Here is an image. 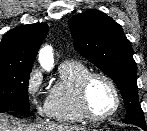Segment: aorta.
<instances>
[{
	"mask_svg": "<svg viewBox=\"0 0 147 131\" xmlns=\"http://www.w3.org/2000/svg\"><path fill=\"white\" fill-rule=\"evenodd\" d=\"M39 60L41 66L45 70H50L53 67V54L52 49L49 47H45L40 51Z\"/></svg>",
	"mask_w": 147,
	"mask_h": 131,
	"instance_id": "762f6f07",
	"label": "aorta"
}]
</instances>
